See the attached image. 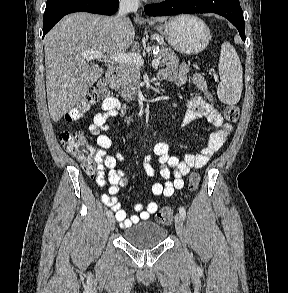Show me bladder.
I'll use <instances>...</instances> for the list:
<instances>
[{
	"label": "bladder",
	"mask_w": 288,
	"mask_h": 293,
	"mask_svg": "<svg viewBox=\"0 0 288 293\" xmlns=\"http://www.w3.org/2000/svg\"><path fill=\"white\" fill-rule=\"evenodd\" d=\"M167 237V230L153 221H143L127 227L123 232L126 242L137 248H151L161 244Z\"/></svg>",
	"instance_id": "obj_1"
}]
</instances>
